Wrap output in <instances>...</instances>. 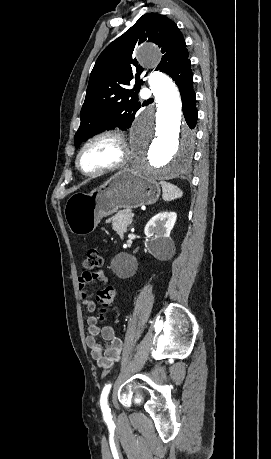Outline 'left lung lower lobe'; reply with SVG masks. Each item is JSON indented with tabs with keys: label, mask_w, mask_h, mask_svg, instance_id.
<instances>
[{
	"label": "left lung lower lobe",
	"mask_w": 271,
	"mask_h": 459,
	"mask_svg": "<svg viewBox=\"0 0 271 459\" xmlns=\"http://www.w3.org/2000/svg\"><path fill=\"white\" fill-rule=\"evenodd\" d=\"M179 87L182 99L183 114L188 126L193 129L197 123L196 95L193 89L191 61L187 58L170 74Z\"/></svg>",
	"instance_id": "0a47b994"
}]
</instances>
